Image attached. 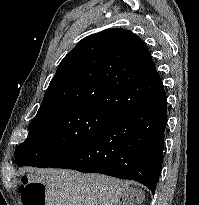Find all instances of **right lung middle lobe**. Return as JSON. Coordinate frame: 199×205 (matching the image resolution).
Listing matches in <instances>:
<instances>
[{"mask_svg":"<svg viewBox=\"0 0 199 205\" xmlns=\"http://www.w3.org/2000/svg\"><path fill=\"white\" fill-rule=\"evenodd\" d=\"M117 115L93 106H67L38 111L26 140L15 150L16 164L51 167L95 139Z\"/></svg>","mask_w":199,"mask_h":205,"instance_id":"1","label":"right lung middle lobe"}]
</instances>
